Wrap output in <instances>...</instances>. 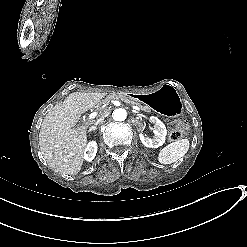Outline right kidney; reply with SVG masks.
Wrapping results in <instances>:
<instances>
[{"label":"right kidney","mask_w":247,"mask_h":247,"mask_svg":"<svg viewBox=\"0 0 247 247\" xmlns=\"http://www.w3.org/2000/svg\"><path fill=\"white\" fill-rule=\"evenodd\" d=\"M97 153V143L96 141H90L84 151V159L88 162H91Z\"/></svg>","instance_id":"obj_1"}]
</instances>
